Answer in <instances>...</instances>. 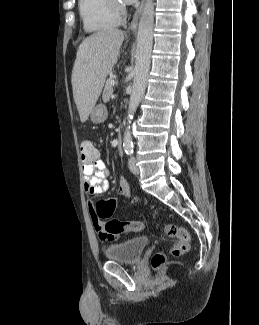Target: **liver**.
<instances>
[{"instance_id": "6515ba94", "label": "liver", "mask_w": 259, "mask_h": 325, "mask_svg": "<svg viewBox=\"0 0 259 325\" xmlns=\"http://www.w3.org/2000/svg\"><path fill=\"white\" fill-rule=\"evenodd\" d=\"M123 41V31L109 29L90 35L80 44L71 82L82 123L88 119L101 94L106 77L117 62Z\"/></svg>"}]
</instances>
